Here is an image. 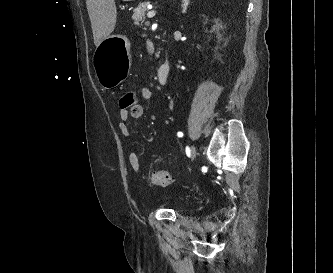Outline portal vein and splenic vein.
Wrapping results in <instances>:
<instances>
[{"label":"portal vein and splenic vein","mask_w":333,"mask_h":273,"mask_svg":"<svg viewBox=\"0 0 333 273\" xmlns=\"http://www.w3.org/2000/svg\"><path fill=\"white\" fill-rule=\"evenodd\" d=\"M156 15V12L155 11H149L148 13H147V17L148 18H152V17H154Z\"/></svg>","instance_id":"18ae733b"}]
</instances>
